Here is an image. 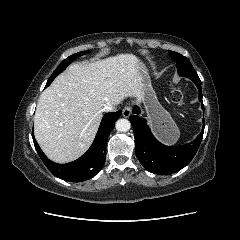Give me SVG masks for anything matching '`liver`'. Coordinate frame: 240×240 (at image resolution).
Here are the masks:
<instances>
[{
	"mask_svg": "<svg viewBox=\"0 0 240 240\" xmlns=\"http://www.w3.org/2000/svg\"><path fill=\"white\" fill-rule=\"evenodd\" d=\"M133 54H118L92 63H76L58 75L41 94L34 116V135L54 162L79 158L92 144L106 105L125 98L144 100Z\"/></svg>",
	"mask_w": 240,
	"mask_h": 240,
	"instance_id": "1",
	"label": "liver"
}]
</instances>
